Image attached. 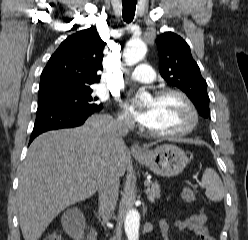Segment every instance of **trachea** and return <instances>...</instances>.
Wrapping results in <instances>:
<instances>
[{"label": "trachea", "mask_w": 248, "mask_h": 240, "mask_svg": "<svg viewBox=\"0 0 248 240\" xmlns=\"http://www.w3.org/2000/svg\"><path fill=\"white\" fill-rule=\"evenodd\" d=\"M136 4H137L136 0L122 2L123 5L122 17L126 23H130L134 19Z\"/></svg>", "instance_id": "obj_1"}]
</instances>
